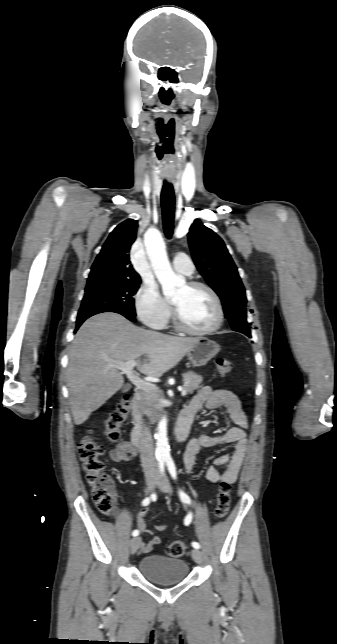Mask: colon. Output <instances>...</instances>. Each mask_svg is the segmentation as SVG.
I'll return each mask as SVG.
<instances>
[{"label":"colon","instance_id":"colon-1","mask_svg":"<svg viewBox=\"0 0 337 644\" xmlns=\"http://www.w3.org/2000/svg\"><path fill=\"white\" fill-rule=\"evenodd\" d=\"M234 367L233 362L225 357H218L216 368L221 376L228 375ZM130 411V401L127 396L118 401L105 419V436L110 442H118L122 434L124 424ZM78 456L82 462L86 480L92 490V499L98 510L109 515L114 508L113 482L104 472L102 459L103 446L93 437L87 435L78 443ZM231 486L228 482L222 481L218 486L216 496L215 515L217 518H224L230 508ZM186 544L177 540L172 542L168 548V555L179 558L184 555Z\"/></svg>","mask_w":337,"mask_h":644}]
</instances>
